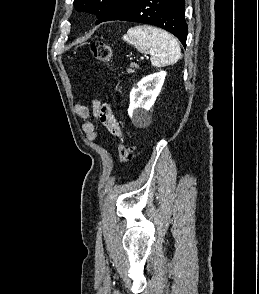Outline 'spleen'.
<instances>
[{"label": "spleen", "instance_id": "1", "mask_svg": "<svg viewBox=\"0 0 259 294\" xmlns=\"http://www.w3.org/2000/svg\"><path fill=\"white\" fill-rule=\"evenodd\" d=\"M122 39L141 53L150 54L151 63L155 67L173 65L181 57L178 41L156 27L143 25L130 28Z\"/></svg>", "mask_w": 259, "mask_h": 294}]
</instances>
